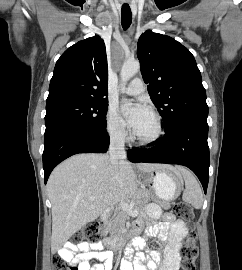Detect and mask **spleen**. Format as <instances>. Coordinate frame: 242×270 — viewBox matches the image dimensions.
Instances as JSON below:
<instances>
[{
  "mask_svg": "<svg viewBox=\"0 0 242 270\" xmlns=\"http://www.w3.org/2000/svg\"><path fill=\"white\" fill-rule=\"evenodd\" d=\"M178 171L184 178L185 190L183 192V200L190 203L196 209H200L203 204V194L196 178L185 168H178Z\"/></svg>",
  "mask_w": 242,
  "mask_h": 270,
  "instance_id": "spleen-1",
  "label": "spleen"
}]
</instances>
